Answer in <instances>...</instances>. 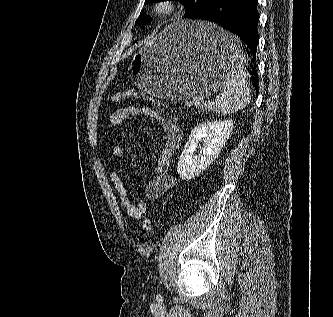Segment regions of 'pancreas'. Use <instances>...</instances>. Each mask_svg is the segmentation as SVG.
I'll list each match as a JSON object with an SVG mask.
<instances>
[{
	"label": "pancreas",
	"mask_w": 333,
	"mask_h": 317,
	"mask_svg": "<svg viewBox=\"0 0 333 317\" xmlns=\"http://www.w3.org/2000/svg\"><path fill=\"white\" fill-rule=\"evenodd\" d=\"M196 107L200 110H210L211 109L210 104H204L203 102H200Z\"/></svg>",
	"instance_id": "obj_1"
}]
</instances>
